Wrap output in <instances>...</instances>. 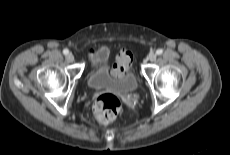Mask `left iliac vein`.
I'll use <instances>...</instances> for the list:
<instances>
[{"label": "left iliac vein", "instance_id": "1", "mask_svg": "<svg viewBox=\"0 0 230 155\" xmlns=\"http://www.w3.org/2000/svg\"><path fill=\"white\" fill-rule=\"evenodd\" d=\"M148 58L151 62H154L157 59V55L155 53H150Z\"/></svg>", "mask_w": 230, "mask_h": 155}]
</instances>
